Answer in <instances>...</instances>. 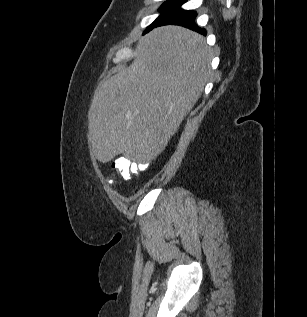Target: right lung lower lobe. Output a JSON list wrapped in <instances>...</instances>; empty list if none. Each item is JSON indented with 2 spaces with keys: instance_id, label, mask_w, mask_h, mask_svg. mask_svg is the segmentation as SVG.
<instances>
[{
  "instance_id": "98d812e1",
  "label": "right lung lower lobe",
  "mask_w": 307,
  "mask_h": 317,
  "mask_svg": "<svg viewBox=\"0 0 307 317\" xmlns=\"http://www.w3.org/2000/svg\"><path fill=\"white\" fill-rule=\"evenodd\" d=\"M185 2L186 0H176L168 10H166L146 29L145 33L158 26L173 24L180 25L206 35V31L203 28L198 27L195 23L196 12L181 8V5Z\"/></svg>"
}]
</instances>
